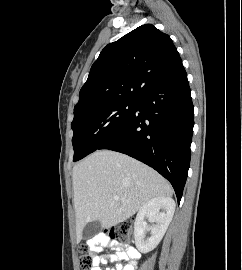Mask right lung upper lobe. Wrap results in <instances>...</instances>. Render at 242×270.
<instances>
[{"mask_svg":"<svg viewBox=\"0 0 242 270\" xmlns=\"http://www.w3.org/2000/svg\"><path fill=\"white\" fill-rule=\"evenodd\" d=\"M182 66L171 38L151 24L108 44L90 69L74 115L117 100H137Z\"/></svg>","mask_w":242,"mask_h":270,"instance_id":"obj_1","label":"right lung upper lobe"}]
</instances>
